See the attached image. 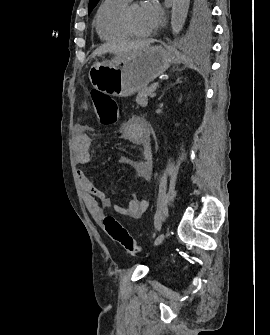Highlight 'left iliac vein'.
Segmentation results:
<instances>
[{
  "mask_svg": "<svg viewBox=\"0 0 270 335\" xmlns=\"http://www.w3.org/2000/svg\"><path fill=\"white\" fill-rule=\"evenodd\" d=\"M164 238H165V234H164V233H161V234L156 238V240H155V242H154V245L157 246V245L161 244V243L163 242Z\"/></svg>",
  "mask_w": 270,
  "mask_h": 335,
  "instance_id": "4c4485c4",
  "label": "left iliac vein"
}]
</instances>
